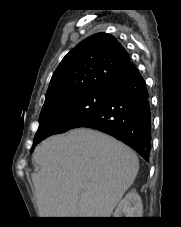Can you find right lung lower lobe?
Listing matches in <instances>:
<instances>
[{"instance_id": "obj_1", "label": "right lung lower lobe", "mask_w": 181, "mask_h": 227, "mask_svg": "<svg viewBox=\"0 0 181 227\" xmlns=\"http://www.w3.org/2000/svg\"><path fill=\"white\" fill-rule=\"evenodd\" d=\"M80 127L109 134L149 160L151 111L145 81L133 65L129 72L109 86L106 103Z\"/></svg>"}]
</instances>
